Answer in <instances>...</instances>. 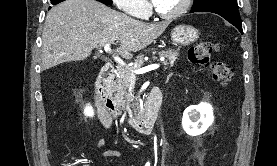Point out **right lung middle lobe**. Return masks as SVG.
I'll use <instances>...</instances> for the list:
<instances>
[{
	"label": "right lung middle lobe",
	"mask_w": 277,
	"mask_h": 166,
	"mask_svg": "<svg viewBox=\"0 0 277 166\" xmlns=\"http://www.w3.org/2000/svg\"><path fill=\"white\" fill-rule=\"evenodd\" d=\"M104 1L112 4V0H104Z\"/></svg>",
	"instance_id": "obj_1"
}]
</instances>
